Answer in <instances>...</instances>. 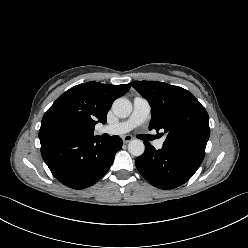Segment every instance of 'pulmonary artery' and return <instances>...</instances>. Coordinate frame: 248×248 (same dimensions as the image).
Returning <instances> with one entry per match:
<instances>
[{
  "label": "pulmonary artery",
  "instance_id": "pulmonary-artery-1",
  "mask_svg": "<svg viewBox=\"0 0 248 248\" xmlns=\"http://www.w3.org/2000/svg\"><path fill=\"white\" fill-rule=\"evenodd\" d=\"M151 107L149 102L143 97H135L133 100V110L128 119L101 128V132L111 135H119L129 132L134 127L141 125L150 117ZM164 144V138L155 142V147L161 149Z\"/></svg>",
  "mask_w": 248,
  "mask_h": 248
}]
</instances>
